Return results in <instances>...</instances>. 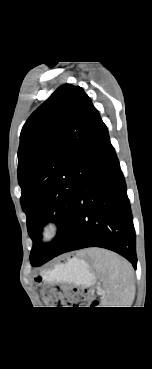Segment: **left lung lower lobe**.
<instances>
[{
	"mask_svg": "<svg viewBox=\"0 0 152 369\" xmlns=\"http://www.w3.org/2000/svg\"><path fill=\"white\" fill-rule=\"evenodd\" d=\"M83 164L84 172L75 194L74 220L55 256L96 246L119 253L136 269L135 230L126 184L101 118Z\"/></svg>",
	"mask_w": 152,
	"mask_h": 369,
	"instance_id": "left-lung-lower-lobe-1",
	"label": "left lung lower lobe"
}]
</instances>
